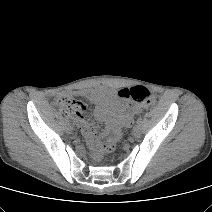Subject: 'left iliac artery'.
I'll return each mask as SVG.
<instances>
[{
    "label": "left iliac artery",
    "mask_w": 212,
    "mask_h": 212,
    "mask_svg": "<svg viewBox=\"0 0 212 212\" xmlns=\"http://www.w3.org/2000/svg\"><path fill=\"white\" fill-rule=\"evenodd\" d=\"M141 123H142V117H139V118L137 119V124L140 125Z\"/></svg>",
    "instance_id": "44dca946"
}]
</instances>
